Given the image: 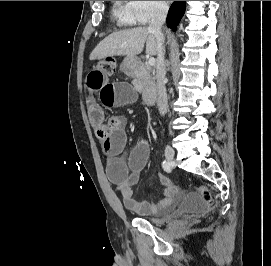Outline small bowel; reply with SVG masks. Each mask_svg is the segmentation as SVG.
Returning a JSON list of instances; mask_svg holds the SVG:
<instances>
[{"instance_id": "1", "label": "small bowel", "mask_w": 271, "mask_h": 266, "mask_svg": "<svg viewBox=\"0 0 271 266\" xmlns=\"http://www.w3.org/2000/svg\"><path fill=\"white\" fill-rule=\"evenodd\" d=\"M110 76L97 67L93 68L86 81L89 92L99 93L102 104L107 107L133 103L136 95L131 85L127 82H112ZM87 113L96 137L108 154V179L121 193L124 206L141 215L155 214L173 207L181 198V191L163 174L159 175V183L164 188V197L160 201L149 203L133 197V186L140 179L148 156V146L141 142L132 149L127 160L121 156L126 144L125 117L113 116L105 122L103 109L92 96L87 101Z\"/></svg>"}]
</instances>
